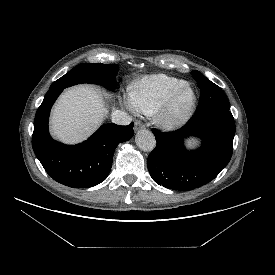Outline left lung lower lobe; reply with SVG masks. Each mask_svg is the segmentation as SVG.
<instances>
[{"label":"left lung lower lobe","instance_id":"left-lung-lower-lobe-1","mask_svg":"<svg viewBox=\"0 0 275 275\" xmlns=\"http://www.w3.org/2000/svg\"><path fill=\"white\" fill-rule=\"evenodd\" d=\"M157 145L150 153L147 167L153 180L166 188L187 191L212 181L232 156L235 122L230 111L196 114L174 132L152 129ZM198 136V150L184 147L183 139Z\"/></svg>","mask_w":275,"mask_h":275}]
</instances>
